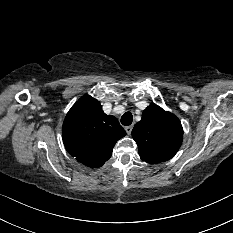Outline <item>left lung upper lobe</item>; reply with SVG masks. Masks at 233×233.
I'll list each match as a JSON object with an SVG mask.
<instances>
[{
	"mask_svg": "<svg viewBox=\"0 0 233 233\" xmlns=\"http://www.w3.org/2000/svg\"><path fill=\"white\" fill-rule=\"evenodd\" d=\"M141 159L151 164L171 159L183 140L179 119L152 103L132 130Z\"/></svg>",
	"mask_w": 233,
	"mask_h": 233,
	"instance_id": "left-lung-upper-lobe-1",
	"label": "left lung upper lobe"
}]
</instances>
